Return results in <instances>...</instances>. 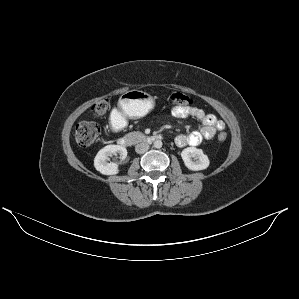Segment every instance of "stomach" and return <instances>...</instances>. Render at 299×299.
Masks as SVG:
<instances>
[{"mask_svg": "<svg viewBox=\"0 0 299 299\" xmlns=\"http://www.w3.org/2000/svg\"><path fill=\"white\" fill-rule=\"evenodd\" d=\"M118 106L125 116L141 118L154 108L155 98L143 91L131 90L121 95Z\"/></svg>", "mask_w": 299, "mask_h": 299, "instance_id": "obj_1", "label": "stomach"}]
</instances>
